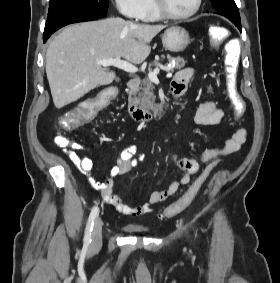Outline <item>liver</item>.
Instances as JSON below:
<instances>
[{
  "instance_id": "6515ba94",
  "label": "liver",
  "mask_w": 280,
  "mask_h": 283,
  "mask_svg": "<svg viewBox=\"0 0 280 283\" xmlns=\"http://www.w3.org/2000/svg\"><path fill=\"white\" fill-rule=\"evenodd\" d=\"M165 27L111 17L63 29L46 52V75L55 107L62 108L112 83L115 73L97 61L119 57L142 63L151 52L149 43Z\"/></svg>"
}]
</instances>
